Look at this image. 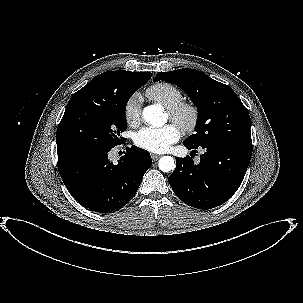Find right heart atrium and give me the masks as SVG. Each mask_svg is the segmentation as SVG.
I'll list each match as a JSON object with an SVG mask.
<instances>
[{
    "label": "right heart atrium",
    "mask_w": 303,
    "mask_h": 303,
    "mask_svg": "<svg viewBox=\"0 0 303 303\" xmlns=\"http://www.w3.org/2000/svg\"><path fill=\"white\" fill-rule=\"evenodd\" d=\"M142 99L139 94H132L125 102L124 117L128 125L137 126L141 121Z\"/></svg>",
    "instance_id": "d8ad5b80"
}]
</instances>
